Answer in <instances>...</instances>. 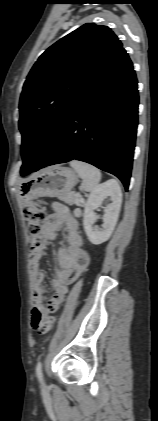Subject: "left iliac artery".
I'll return each instance as SVG.
<instances>
[{"label":"left iliac artery","mask_w":158,"mask_h":421,"mask_svg":"<svg viewBox=\"0 0 158 421\" xmlns=\"http://www.w3.org/2000/svg\"><path fill=\"white\" fill-rule=\"evenodd\" d=\"M36 375L39 381L42 382V362L41 361H39L36 365Z\"/></svg>","instance_id":"left-iliac-artery-1"}]
</instances>
